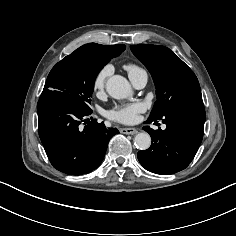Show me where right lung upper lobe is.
Instances as JSON below:
<instances>
[{
  "instance_id": "cb5924a9",
  "label": "right lung upper lobe",
  "mask_w": 236,
  "mask_h": 236,
  "mask_svg": "<svg viewBox=\"0 0 236 236\" xmlns=\"http://www.w3.org/2000/svg\"><path fill=\"white\" fill-rule=\"evenodd\" d=\"M126 46L121 45H112V46H106V45H100L96 43H89L85 44L81 47H79L76 51H95V52H102V53H108L113 55L114 57L118 56L121 52L125 50Z\"/></svg>"
}]
</instances>
